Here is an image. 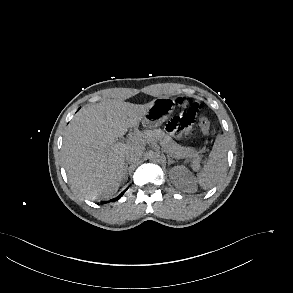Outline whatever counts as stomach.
Masks as SVG:
<instances>
[{
	"label": "stomach",
	"mask_w": 293,
	"mask_h": 293,
	"mask_svg": "<svg viewBox=\"0 0 293 293\" xmlns=\"http://www.w3.org/2000/svg\"><path fill=\"white\" fill-rule=\"evenodd\" d=\"M174 99L159 97L152 101L151 107L142 118V124L146 128H154L161 125L173 112Z\"/></svg>",
	"instance_id": "obj_1"
}]
</instances>
